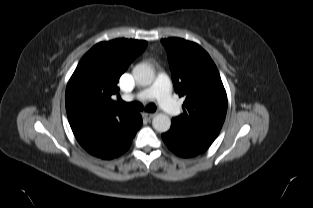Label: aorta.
<instances>
[{
    "instance_id": "aorta-1",
    "label": "aorta",
    "mask_w": 313,
    "mask_h": 208,
    "mask_svg": "<svg viewBox=\"0 0 313 208\" xmlns=\"http://www.w3.org/2000/svg\"><path fill=\"white\" fill-rule=\"evenodd\" d=\"M135 81L141 86H149L155 79V73L151 66L145 63L138 64L132 71ZM153 128L160 133L167 132L171 126L170 117L159 113L152 120Z\"/></svg>"
}]
</instances>
